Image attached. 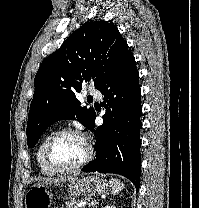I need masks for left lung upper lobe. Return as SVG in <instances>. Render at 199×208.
Here are the masks:
<instances>
[{
    "label": "left lung upper lobe",
    "instance_id": "1",
    "mask_svg": "<svg viewBox=\"0 0 199 208\" xmlns=\"http://www.w3.org/2000/svg\"><path fill=\"white\" fill-rule=\"evenodd\" d=\"M132 55L113 23L86 22L73 32L42 62L35 76L26 129L28 147H34L42 133L61 119L76 116L90 128L95 111L80 106L75 93L89 82L98 89Z\"/></svg>",
    "mask_w": 199,
    "mask_h": 208
}]
</instances>
